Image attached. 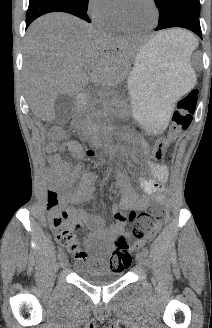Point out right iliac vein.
<instances>
[{
	"label": "right iliac vein",
	"mask_w": 212,
	"mask_h": 328,
	"mask_svg": "<svg viewBox=\"0 0 212 328\" xmlns=\"http://www.w3.org/2000/svg\"><path fill=\"white\" fill-rule=\"evenodd\" d=\"M60 263H61V266L63 268H66L68 266V260H67V257L66 256H63L61 259H60Z\"/></svg>",
	"instance_id": "1"
}]
</instances>
